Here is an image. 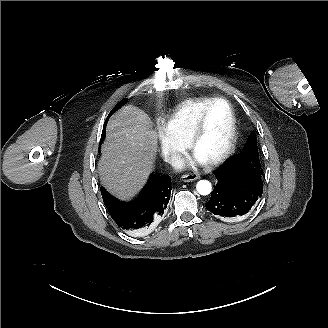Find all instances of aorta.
<instances>
[{"label": "aorta", "mask_w": 328, "mask_h": 328, "mask_svg": "<svg viewBox=\"0 0 328 328\" xmlns=\"http://www.w3.org/2000/svg\"><path fill=\"white\" fill-rule=\"evenodd\" d=\"M196 190L201 195H208L212 191L211 183L207 180H200L196 185Z\"/></svg>", "instance_id": "1"}]
</instances>
